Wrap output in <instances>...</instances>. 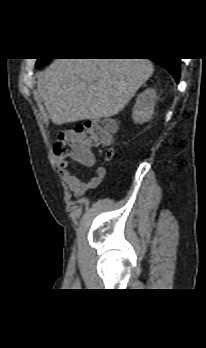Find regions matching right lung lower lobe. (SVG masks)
Here are the masks:
<instances>
[{
    "label": "right lung lower lobe",
    "mask_w": 206,
    "mask_h": 348,
    "mask_svg": "<svg viewBox=\"0 0 206 348\" xmlns=\"http://www.w3.org/2000/svg\"><path fill=\"white\" fill-rule=\"evenodd\" d=\"M163 68H165L174 77L175 81L178 83L180 77V59L176 58H165L153 60Z\"/></svg>",
    "instance_id": "1"
}]
</instances>
